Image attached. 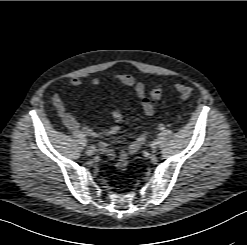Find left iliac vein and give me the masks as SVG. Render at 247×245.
Here are the masks:
<instances>
[{"mask_svg": "<svg viewBox=\"0 0 247 245\" xmlns=\"http://www.w3.org/2000/svg\"><path fill=\"white\" fill-rule=\"evenodd\" d=\"M157 147H158V141L157 140H154L152 142V144H151V150H152V152H155L156 149H157Z\"/></svg>", "mask_w": 247, "mask_h": 245, "instance_id": "1", "label": "left iliac vein"}]
</instances>
